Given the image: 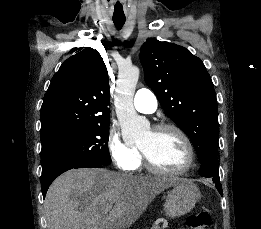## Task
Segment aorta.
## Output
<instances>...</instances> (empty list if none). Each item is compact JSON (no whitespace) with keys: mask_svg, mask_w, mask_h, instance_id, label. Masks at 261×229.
<instances>
[{"mask_svg":"<svg viewBox=\"0 0 261 229\" xmlns=\"http://www.w3.org/2000/svg\"><path fill=\"white\" fill-rule=\"evenodd\" d=\"M139 74L138 66H121L114 94L116 117L121 129L137 141L144 139L145 135H150V125L146 117H139L133 104Z\"/></svg>","mask_w":261,"mask_h":229,"instance_id":"1","label":"aorta"}]
</instances>
